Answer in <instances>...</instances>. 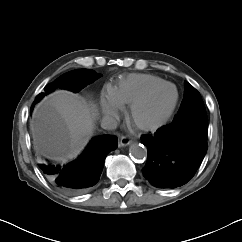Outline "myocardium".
Masks as SVG:
<instances>
[{
    "label": "myocardium",
    "instance_id": "f54148a6",
    "mask_svg": "<svg viewBox=\"0 0 242 242\" xmlns=\"http://www.w3.org/2000/svg\"><path fill=\"white\" fill-rule=\"evenodd\" d=\"M165 87H172L175 90V99L173 104L171 105L170 109L166 113L165 117L158 123L153 125H144L141 123H138L136 121V113L140 107H142L144 104H146L158 91ZM180 100V93L178 88L175 84L170 82H164L159 85H156L152 88H150L148 91H146L142 96H140L137 100H135L131 105L129 109V121L132 124L133 127H135L137 130L142 132H156L165 127L173 118L175 111L177 109L178 103Z\"/></svg>",
    "mask_w": 242,
    "mask_h": 242
}]
</instances>
